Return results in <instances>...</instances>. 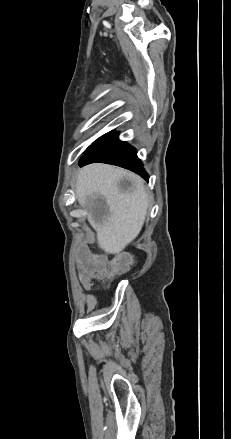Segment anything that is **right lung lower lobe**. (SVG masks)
Segmentation results:
<instances>
[{"label": "right lung lower lobe", "mask_w": 231, "mask_h": 439, "mask_svg": "<svg viewBox=\"0 0 231 439\" xmlns=\"http://www.w3.org/2000/svg\"><path fill=\"white\" fill-rule=\"evenodd\" d=\"M118 132L111 134L94 148L87 151L80 159L79 165L84 166L93 162H102L129 169L146 181L148 174L145 172L135 148L118 139Z\"/></svg>", "instance_id": "1"}]
</instances>
